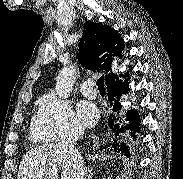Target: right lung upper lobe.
Here are the masks:
<instances>
[{"label": "right lung upper lobe", "instance_id": "1", "mask_svg": "<svg viewBox=\"0 0 183 179\" xmlns=\"http://www.w3.org/2000/svg\"><path fill=\"white\" fill-rule=\"evenodd\" d=\"M79 63L86 69H100L105 72L106 83L118 78L112 72L113 57H122L124 43L116 30L102 23L86 22L83 36L79 43Z\"/></svg>", "mask_w": 183, "mask_h": 179}]
</instances>
